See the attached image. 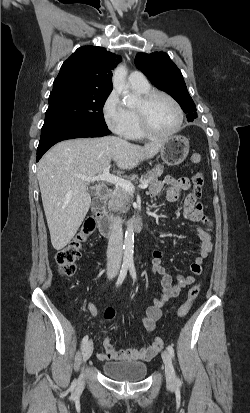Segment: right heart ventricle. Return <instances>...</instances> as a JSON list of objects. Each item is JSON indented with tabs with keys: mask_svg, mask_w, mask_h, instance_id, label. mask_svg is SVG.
<instances>
[{
	"mask_svg": "<svg viewBox=\"0 0 250 413\" xmlns=\"http://www.w3.org/2000/svg\"><path fill=\"white\" fill-rule=\"evenodd\" d=\"M132 88L139 95H143L150 90L149 85L143 88H138V87H132ZM126 110H127V116H128V125H127V130L124 136L129 139L144 138L145 136L140 128L139 118H138L136 109L129 108Z\"/></svg>",
	"mask_w": 250,
	"mask_h": 413,
	"instance_id": "obj_1",
	"label": "right heart ventricle"
}]
</instances>
